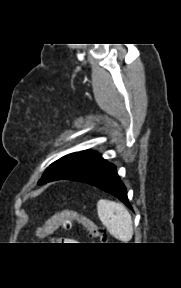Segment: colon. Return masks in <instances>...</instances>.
<instances>
[{"instance_id":"colon-1","label":"colon","mask_w":181,"mask_h":288,"mask_svg":"<svg viewBox=\"0 0 181 288\" xmlns=\"http://www.w3.org/2000/svg\"><path fill=\"white\" fill-rule=\"evenodd\" d=\"M74 222L84 228L91 239H96L101 242L105 241V231L101 227L88 217L71 209L61 210L46 223L38 226L36 235L38 237H46L59 229L70 230Z\"/></svg>"}]
</instances>
